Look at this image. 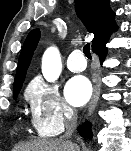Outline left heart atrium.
Masks as SVG:
<instances>
[{
    "label": "left heart atrium",
    "mask_w": 131,
    "mask_h": 151,
    "mask_svg": "<svg viewBox=\"0 0 131 151\" xmlns=\"http://www.w3.org/2000/svg\"><path fill=\"white\" fill-rule=\"evenodd\" d=\"M92 94V85L84 76L71 78L65 87L67 101L76 107L84 105Z\"/></svg>",
    "instance_id": "1"
}]
</instances>
